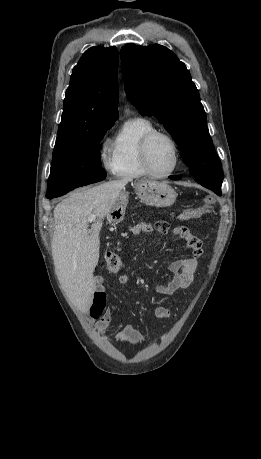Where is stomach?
<instances>
[{
  "label": "stomach",
  "mask_w": 261,
  "mask_h": 459,
  "mask_svg": "<svg viewBox=\"0 0 261 459\" xmlns=\"http://www.w3.org/2000/svg\"><path fill=\"white\" fill-rule=\"evenodd\" d=\"M135 191L143 203L154 207H169L174 204L177 197L175 190L167 183L154 180L137 181L135 183ZM127 197L126 191L120 194L116 206L111 211L113 221H117L120 215L123 216Z\"/></svg>",
  "instance_id": "obj_1"
}]
</instances>
